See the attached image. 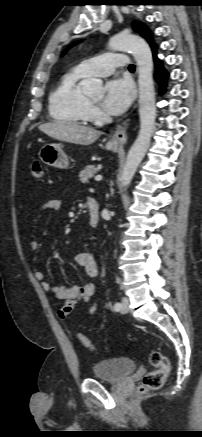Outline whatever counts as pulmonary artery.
<instances>
[{
  "label": "pulmonary artery",
  "instance_id": "e3ab8cb5",
  "mask_svg": "<svg viewBox=\"0 0 202 437\" xmlns=\"http://www.w3.org/2000/svg\"><path fill=\"white\" fill-rule=\"evenodd\" d=\"M129 64L127 55L123 53H106L81 62L77 67L86 76L105 77L111 75L118 67Z\"/></svg>",
  "mask_w": 202,
  "mask_h": 437
}]
</instances>
